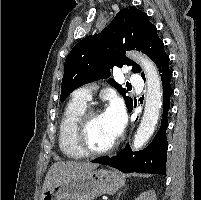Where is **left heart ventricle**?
<instances>
[{
    "label": "left heart ventricle",
    "instance_id": "obj_1",
    "mask_svg": "<svg viewBox=\"0 0 201 200\" xmlns=\"http://www.w3.org/2000/svg\"><path fill=\"white\" fill-rule=\"evenodd\" d=\"M104 113L94 116L86 129V142L92 149H103L115 141Z\"/></svg>",
    "mask_w": 201,
    "mask_h": 200
}]
</instances>
